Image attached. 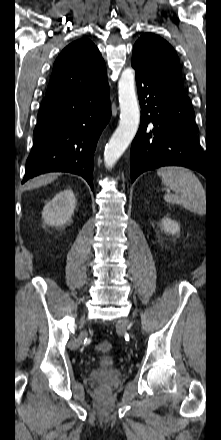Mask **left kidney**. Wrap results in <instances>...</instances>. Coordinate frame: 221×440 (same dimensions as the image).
I'll return each mask as SVG.
<instances>
[{
	"instance_id": "obj_1",
	"label": "left kidney",
	"mask_w": 221,
	"mask_h": 440,
	"mask_svg": "<svg viewBox=\"0 0 221 440\" xmlns=\"http://www.w3.org/2000/svg\"><path fill=\"white\" fill-rule=\"evenodd\" d=\"M161 230L167 234L175 235L180 232V225L176 221L165 217L161 221Z\"/></svg>"
}]
</instances>
